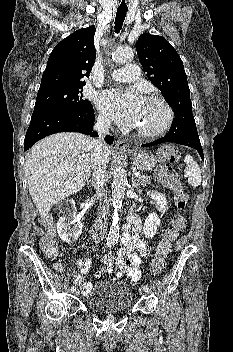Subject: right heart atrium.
<instances>
[{
    "label": "right heart atrium",
    "instance_id": "1",
    "mask_svg": "<svg viewBox=\"0 0 233 352\" xmlns=\"http://www.w3.org/2000/svg\"><path fill=\"white\" fill-rule=\"evenodd\" d=\"M99 122H100L101 124L107 125V124L109 123V120H108V118H107L106 116L100 115V116H99Z\"/></svg>",
    "mask_w": 233,
    "mask_h": 352
}]
</instances>
